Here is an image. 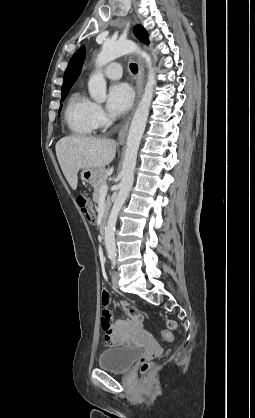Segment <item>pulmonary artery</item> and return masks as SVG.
Wrapping results in <instances>:
<instances>
[{
  "mask_svg": "<svg viewBox=\"0 0 255 418\" xmlns=\"http://www.w3.org/2000/svg\"><path fill=\"white\" fill-rule=\"evenodd\" d=\"M104 74L109 79H120L122 76V67L119 63H111L104 69Z\"/></svg>",
  "mask_w": 255,
  "mask_h": 418,
  "instance_id": "e3ab8cb5",
  "label": "pulmonary artery"
}]
</instances>
